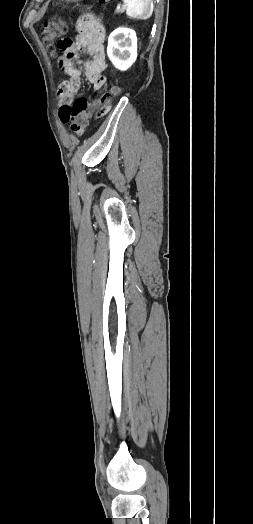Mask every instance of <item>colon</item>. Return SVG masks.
<instances>
[{"label":"colon","instance_id":"obj_1","mask_svg":"<svg viewBox=\"0 0 253 524\" xmlns=\"http://www.w3.org/2000/svg\"><path fill=\"white\" fill-rule=\"evenodd\" d=\"M109 0H100L102 4L108 3ZM68 27L66 22L59 17L52 18L46 21L40 31V37L43 44L51 52H54L60 35L67 33ZM120 88L116 85L112 86L109 90L98 91L97 96V107L101 103H110L112 97L118 94ZM90 107L88 98H78L72 105H64L60 108L59 115L60 119L64 123H70V129L73 133L82 135L85 133L89 120L94 110Z\"/></svg>","mask_w":253,"mask_h":524}]
</instances>
